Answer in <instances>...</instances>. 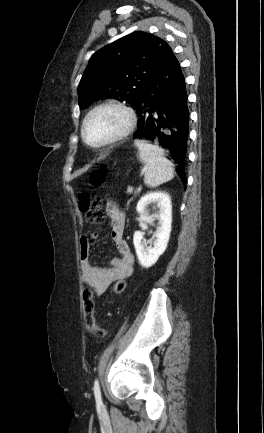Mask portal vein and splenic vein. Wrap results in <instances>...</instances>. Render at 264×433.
<instances>
[{
	"instance_id": "portal-vein-and-splenic-vein-1",
	"label": "portal vein and splenic vein",
	"mask_w": 264,
	"mask_h": 433,
	"mask_svg": "<svg viewBox=\"0 0 264 433\" xmlns=\"http://www.w3.org/2000/svg\"><path fill=\"white\" fill-rule=\"evenodd\" d=\"M127 192L128 193H132L133 192V188L132 187H128Z\"/></svg>"
}]
</instances>
